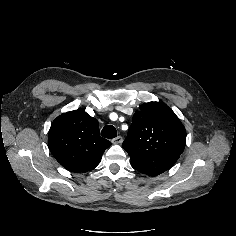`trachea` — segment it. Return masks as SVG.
<instances>
[{"label":"trachea","instance_id":"3493384b","mask_svg":"<svg viewBox=\"0 0 236 236\" xmlns=\"http://www.w3.org/2000/svg\"><path fill=\"white\" fill-rule=\"evenodd\" d=\"M101 135L104 138L112 139V138H115L117 136V131H116L114 126L107 125L102 129Z\"/></svg>","mask_w":236,"mask_h":236}]
</instances>
